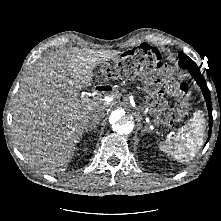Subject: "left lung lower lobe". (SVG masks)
<instances>
[{
	"mask_svg": "<svg viewBox=\"0 0 221 221\" xmlns=\"http://www.w3.org/2000/svg\"><path fill=\"white\" fill-rule=\"evenodd\" d=\"M190 73L192 75V77L196 80V82L198 83V85L200 86L203 95L205 97L206 103H207V109L209 111V136H208V140L210 139V135H211V129H212V106H211V97H210V91L207 87V85L205 84V79L203 77V75L200 73L199 69H192L190 70ZM206 142V143H207Z\"/></svg>",
	"mask_w": 221,
	"mask_h": 221,
	"instance_id": "left-lung-lower-lobe-1",
	"label": "left lung lower lobe"
}]
</instances>
